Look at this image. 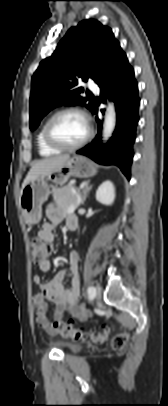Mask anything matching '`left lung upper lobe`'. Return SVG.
Wrapping results in <instances>:
<instances>
[{
  "label": "left lung upper lobe",
  "instance_id": "obj_1",
  "mask_svg": "<svg viewBox=\"0 0 168 406\" xmlns=\"http://www.w3.org/2000/svg\"><path fill=\"white\" fill-rule=\"evenodd\" d=\"M121 51L112 30L97 20H83L69 29L32 77L30 129H36L57 106L82 105L92 112L95 103L82 97L84 89L78 86V80L86 82L91 78L98 84Z\"/></svg>",
  "mask_w": 168,
  "mask_h": 406
}]
</instances>
